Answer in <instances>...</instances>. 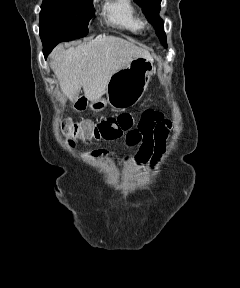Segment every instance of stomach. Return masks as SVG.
I'll return each instance as SVG.
<instances>
[{
  "label": "stomach",
  "mask_w": 240,
  "mask_h": 288,
  "mask_svg": "<svg viewBox=\"0 0 240 288\" xmlns=\"http://www.w3.org/2000/svg\"><path fill=\"white\" fill-rule=\"evenodd\" d=\"M154 69L153 60L134 58L112 75L106 88V99L93 101L90 108L102 111L109 104L115 109L125 110L134 106L145 93Z\"/></svg>",
  "instance_id": "0dacf381"
}]
</instances>
